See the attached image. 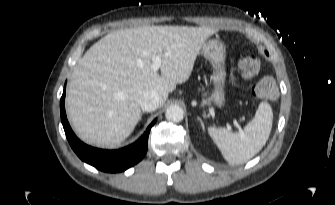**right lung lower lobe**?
Instances as JSON below:
<instances>
[{
  "label": "right lung lower lobe",
  "instance_id": "right-lung-lower-lobe-1",
  "mask_svg": "<svg viewBox=\"0 0 335 205\" xmlns=\"http://www.w3.org/2000/svg\"><path fill=\"white\" fill-rule=\"evenodd\" d=\"M65 89L60 100L61 121L74 152L84 162L94 166L104 172H121L138 163L146 154L148 148V136L151 127L155 124L156 119L148 126L144 134L132 145L119 150H101L90 147L81 142L72 131L65 113Z\"/></svg>",
  "mask_w": 335,
  "mask_h": 205
}]
</instances>
